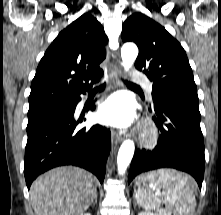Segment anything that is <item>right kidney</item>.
Here are the masks:
<instances>
[{
    "instance_id": "obj_1",
    "label": "right kidney",
    "mask_w": 221,
    "mask_h": 215,
    "mask_svg": "<svg viewBox=\"0 0 221 215\" xmlns=\"http://www.w3.org/2000/svg\"><path fill=\"white\" fill-rule=\"evenodd\" d=\"M81 215H91L90 213H84V214H81Z\"/></svg>"
}]
</instances>
